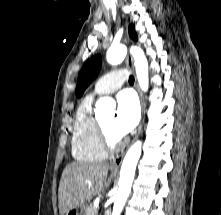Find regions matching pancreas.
I'll return each mask as SVG.
<instances>
[{
	"label": "pancreas",
	"instance_id": "cf45deb5",
	"mask_svg": "<svg viewBox=\"0 0 221 215\" xmlns=\"http://www.w3.org/2000/svg\"><path fill=\"white\" fill-rule=\"evenodd\" d=\"M85 215H97V208L94 206V204H91L86 208Z\"/></svg>",
	"mask_w": 221,
	"mask_h": 215
}]
</instances>
